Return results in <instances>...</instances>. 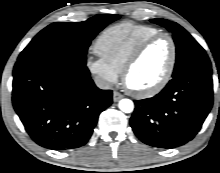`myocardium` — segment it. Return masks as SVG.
Segmentation results:
<instances>
[{
	"label": "myocardium",
	"instance_id": "f54148a6",
	"mask_svg": "<svg viewBox=\"0 0 220 173\" xmlns=\"http://www.w3.org/2000/svg\"><path fill=\"white\" fill-rule=\"evenodd\" d=\"M160 38H167L170 42V45H171V58H170V62H169V65H168V68H167L165 74L159 80V82H157L154 86H152L146 90L139 91V90H135V89L129 87V85L127 84V77L129 75L131 69L138 62V60L140 59V57L142 56L144 51L147 49V47ZM176 63H177V46H176L174 38L169 33L158 32L154 35L149 36L148 38L144 39L143 41H141L137 45V47L133 50V52L131 53V55L127 59L126 63L124 64V67L122 69L123 84L126 87V89L137 98L143 99V98L153 97V96L157 95L159 92H161L167 86V84L170 82V80L173 76L175 67H176Z\"/></svg>",
	"mask_w": 220,
	"mask_h": 173
}]
</instances>
